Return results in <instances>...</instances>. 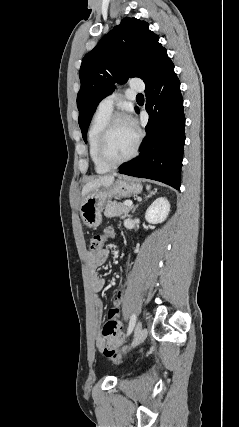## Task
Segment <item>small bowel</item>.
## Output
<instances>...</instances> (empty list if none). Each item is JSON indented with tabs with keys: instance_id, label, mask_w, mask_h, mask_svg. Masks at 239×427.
Listing matches in <instances>:
<instances>
[{
	"instance_id": "1",
	"label": "small bowel",
	"mask_w": 239,
	"mask_h": 427,
	"mask_svg": "<svg viewBox=\"0 0 239 427\" xmlns=\"http://www.w3.org/2000/svg\"><path fill=\"white\" fill-rule=\"evenodd\" d=\"M109 256V251L107 249H101L95 255L87 256V266L90 272V286L91 290L94 293L93 298V311L95 321L98 325H100L103 315V302L98 296V294L102 291L105 286V279L96 274V270L98 267L103 265ZM97 345L100 349L104 347V341L102 338L97 339Z\"/></svg>"
}]
</instances>
